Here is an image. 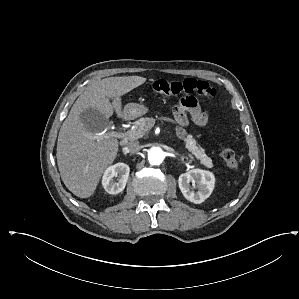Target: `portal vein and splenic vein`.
<instances>
[{
	"label": "portal vein and splenic vein",
	"mask_w": 299,
	"mask_h": 299,
	"mask_svg": "<svg viewBox=\"0 0 299 299\" xmlns=\"http://www.w3.org/2000/svg\"><path fill=\"white\" fill-rule=\"evenodd\" d=\"M130 135H131V130L127 131V132H117V131H111L108 133L99 132V133L90 134L89 137L100 141V140L110 138V137H112V138L113 137L114 138H127V137H130Z\"/></svg>",
	"instance_id": "18ae733b"
}]
</instances>
